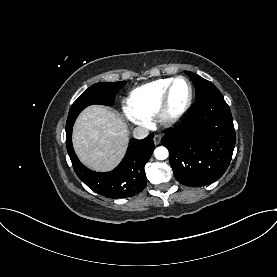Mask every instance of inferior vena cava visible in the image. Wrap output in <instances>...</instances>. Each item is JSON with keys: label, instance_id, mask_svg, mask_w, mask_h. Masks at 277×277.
<instances>
[{"label": "inferior vena cava", "instance_id": "1", "mask_svg": "<svg viewBox=\"0 0 277 277\" xmlns=\"http://www.w3.org/2000/svg\"><path fill=\"white\" fill-rule=\"evenodd\" d=\"M149 134V130L144 127H136L133 129V137L136 139H144Z\"/></svg>", "mask_w": 277, "mask_h": 277}]
</instances>
